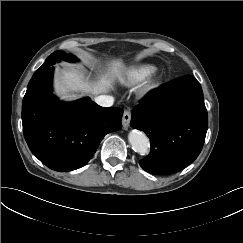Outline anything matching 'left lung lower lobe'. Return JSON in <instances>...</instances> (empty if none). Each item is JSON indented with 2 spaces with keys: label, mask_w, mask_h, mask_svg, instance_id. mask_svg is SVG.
<instances>
[{
  "label": "left lung lower lobe",
  "mask_w": 243,
  "mask_h": 243,
  "mask_svg": "<svg viewBox=\"0 0 243 243\" xmlns=\"http://www.w3.org/2000/svg\"><path fill=\"white\" fill-rule=\"evenodd\" d=\"M132 128L150 138L151 152L140 166L168 175L192 163L203 147L208 115L199 82L183 76L148 93L132 110Z\"/></svg>",
  "instance_id": "0a47b994"
}]
</instances>
